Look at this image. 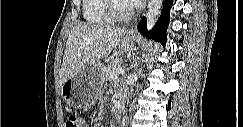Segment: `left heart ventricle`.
Instances as JSON below:
<instances>
[{"label":"left heart ventricle","instance_id":"left-heart-ventricle-1","mask_svg":"<svg viewBox=\"0 0 243 127\" xmlns=\"http://www.w3.org/2000/svg\"><path fill=\"white\" fill-rule=\"evenodd\" d=\"M119 5L120 8L125 11L127 10L129 3L127 1H120Z\"/></svg>","mask_w":243,"mask_h":127}]
</instances>
